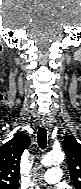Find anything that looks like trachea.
<instances>
[{
	"label": "trachea",
	"mask_w": 81,
	"mask_h": 189,
	"mask_svg": "<svg viewBox=\"0 0 81 189\" xmlns=\"http://www.w3.org/2000/svg\"><path fill=\"white\" fill-rule=\"evenodd\" d=\"M38 145L41 149H45L47 145V131L45 128L40 127L37 133Z\"/></svg>",
	"instance_id": "obj_1"
}]
</instances>
